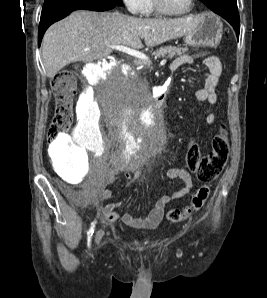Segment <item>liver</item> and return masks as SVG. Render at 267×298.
Here are the masks:
<instances>
[{
  "label": "liver",
  "instance_id": "liver-1",
  "mask_svg": "<svg viewBox=\"0 0 267 298\" xmlns=\"http://www.w3.org/2000/svg\"><path fill=\"white\" fill-rule=\"evenodd\" d=\"M200 17L142 19L119 12L74 11L53 24L44 34L42 58L48 77H54L66 65L78 61L92 62L112 53L109 45L134 49L153 47L192 33Z\"/></svg>",
  "mask_w": 267,
  "mask_h": 298
}]
</instances>
